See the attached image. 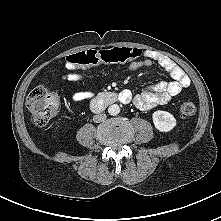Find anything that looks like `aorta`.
Returning <instances> with one entry per match:
<instances>
[{"mask_svg": "<svg viewBox=\"0 0 221 221\" xmlns=\"http://www.w3.org/2000/svg\"><path fill=\"white\" fill-rule=\"evenodd\" d=\"M108 113L110 115H117L120 113V107L117 104H112L108 107Z\"/></svg>", "mask_w": 221, "mask_h": 221, "instance_id": "aorta-1", "label": "aorta"}]
</instances>
